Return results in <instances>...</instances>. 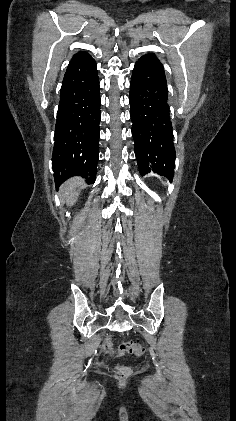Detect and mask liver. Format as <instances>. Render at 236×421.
<instances>
[{"instance_id":"liver-1","label":"liver","mask_w":236,"mask_h":421,"mask_svg":"<svg viewBox=\"0 0 236 421\" xmlns=\"http://www.w3.org/2000/svg\"><path fill=\"white\" fill-rule=\"evenodd\" d=\"M76 186L83 188V186H85L84 178H80V176L70 178V180L64 182L60 188V196L61 198H65V202L68 204V206H72V204H74V202L77 200L79 192L76 190Z\"/></svg>"}]
</instances>
